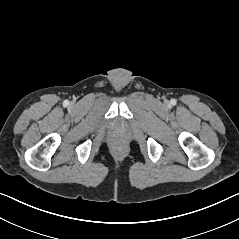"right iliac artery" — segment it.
Returning <instances> with one entry per match:
<instances>
[{
  "label": "right iliac artery",
  "mask_w": 239,
  "mask_h": 239,
  "mask_svg": "<svg viewBox=\"0 0 239 239\" xmlns=\"http://www.w3.org/2000/svg\"><path fill=\"white\" fill-rule=\"evenodd\" d=\"M69 104V101L68 100H65L64 101V105L67 106Z\"/></svg>",
  "instance_id": "1"
}]
</instances>
